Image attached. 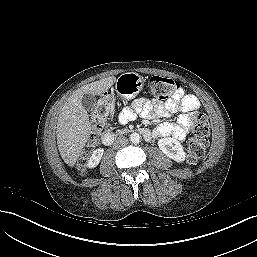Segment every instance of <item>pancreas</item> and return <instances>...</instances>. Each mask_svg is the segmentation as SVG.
Returning <instances> with one entry per match:
<instances>
[{"instance_id":"pancreas-1","label":"pancreas","mask_w":257,"mask_h":257,"mask_svg":"<svg viewBox=\"0 0 257 257\" xmlns=\"http://www.w3.org/2000/svg\"><path fill=\"white\" fill-rule=\"evenodd\" d=\"M129 131V129L124 128L123 130H119L118 133L123 134V133H127Z\"/></svg>"}]
</instances>
